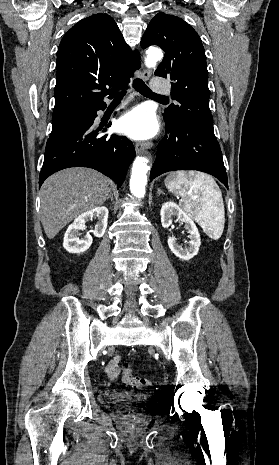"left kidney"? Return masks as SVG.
I'll return each mask as SVG.
<instances>
[{"instance_id":"5707ae66","label":"left kidney","mask_w":279,"mask_h":465,"mask_svg":"<svg viewBox=\"0 0 279 465\" xmlns=\"http://www.w3.org/2000/svg\"><path fill=\"white\" fill-rule=\"evenodd\" d=\"M160 216L161 224L164 228H168L172 224L173 216H176L179 221L185 224V228L189 233V246L186 248L180 247L173 236L168 238V246L181 260L192 259L199 251L201 239L198 229L191 217L173 201L166 202L162 205Z\"/></svg>"}]
</instances>
